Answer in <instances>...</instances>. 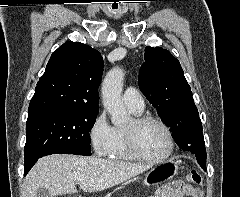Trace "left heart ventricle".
Listing matches in <instances>:
<instances>
[{"instance_id":"left-heart-ventricle-1","label":"left heart ventricle","mask_w":240,"mask_h":197,"mask_svg":"<svg viewBox=\"0 0 240 197\" xmlns=\"http://www.w3.org/2000/svg\"><path fill=\"white\" fill-rule=\"evenodd\" d=\"M133 127V121L126 129ZM138 144L141 150L149 157L159 158L169 148L168 137L163 127L156 122H148L141 126L137 133Z\"/></svg>"}]
</instances>
